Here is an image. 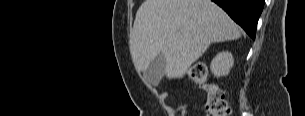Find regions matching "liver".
<instances>
[{"instance_id":"6515ba94","label":"liver","mask_w":305,"mask_h":116,"mask_svg":"<svg viewBox=\"0 0 305 116\" xmlns=\"http://www.w3.org/2000/svg\"><path fill=\"white\" fill-rule=\"evenodd\" d=\"M240 36L238 25L211 0H145L136 13L130 51L139 71L162 54L166 77L182 78L211 43Z\"/></svg>"}]
</instances>
